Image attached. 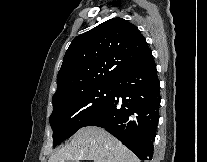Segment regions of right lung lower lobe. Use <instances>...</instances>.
<instances>
[{"instance_id": "right-lung-lower-lobe-1", "label": "right lung lower lobe", "mask_w": 207, "mask_h": 162, "mask_svg": "<svg viewBox=\"0 0 207 162\" xmlns=\"http://www.w3.org/2000/svg\"><path fill=\"white\" fill-rule=\"evenodd\" d=\"M113 86L109 101L83 127L105 128L140 160H151L161 100L153 57L126 70Z\"/></svg>"}]
</instances>
